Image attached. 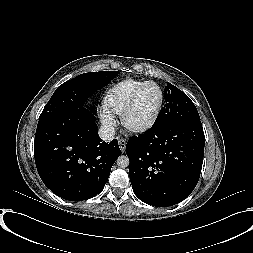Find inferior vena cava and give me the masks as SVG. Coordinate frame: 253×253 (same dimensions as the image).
<instances>
[{
  "label": "inferior vena cava",
  "instance_id": "inferior-vena-cava-1",
  "mask_svg": "<svg viewBox=\"0 0 253 253\" xmlns=\"http://www.w3.org/2000/svg\"><path fill=\"white\" fill-rule=\"evenodd\" d=\"M100 138L105 142H110L114 139L115 129L113 126H101L98 130Z\"/></svg>",
  "mask_w": 253,
  "mask_h": 253
}]
</instances>
